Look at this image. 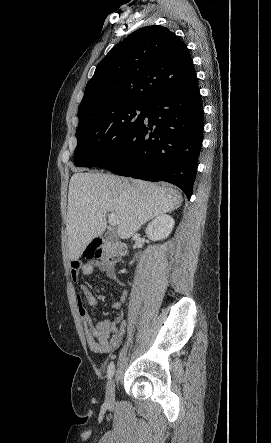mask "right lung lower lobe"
Wrapping results in <instances>:
<instances>
[{
    "instance_id": "right-lung-lower-lobe-1",
    "label": "right lung lower lobe",
    "mask_w": 271,
    "mask_h": 443,
    "mask_svg": "<svg viewBox=\"0 0 271 443\" xmlns=\"http://www.w3.org/2000/svg\"><path fill=\"white\" fill-rule=\"evenodd\" d=\"M202 133L203 106L196 80L157 95L148 104L143 121L99 167L121 176L170 182L189 199Z\"/></svg>"
}]
</instances>
